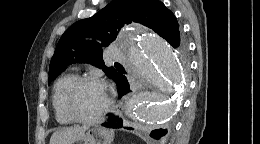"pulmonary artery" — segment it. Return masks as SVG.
<instances>
[{
	"instance_id": "1",
	"label": "pulmonary artery",
	"mask_w": 260,
	"mask_h": 144,
	"mask_svg": "<svg viewBox=\"0 0 260 144\" xmlns=\"http://www.w3.org/2000/svg\"><path fill=\"white\" fill-rule=\"evenodd\" d=\"M110 56L113 59H115V60H122V59H124V55L120 51L115 49V48H111L110 49Z\"/></svg>"
}]
</instances>
